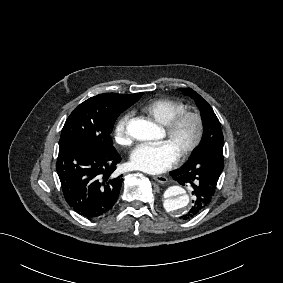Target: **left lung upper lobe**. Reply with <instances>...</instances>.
I'll list each match as a JSON object with an SVG mask.
<instances>
[{
	"mask_svg": "<svg viewBox=\"0 0 283 283\" xmlns=\"http://www.w3.org/2000/svg\"><path fill=\"white\" fill-rule=\"evenodd\" d=\"M182 92L186 95H189L196 102L201 111V117L204 126L202 140L193 153V156L201 153L206 147L222 146L223 133L220 122L211 106L199 94L190 88L182 89Z\"/></svg>",
	"mask_w": 283,
	"mask_h": 283,
	"instance_id": "obj_1",
	"label": "left lung upper lobe"
}]
</instances>
